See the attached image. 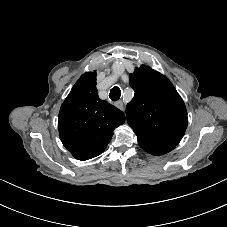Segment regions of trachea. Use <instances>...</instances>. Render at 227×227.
Masks as SVG:
<instances>
[{"mask_svg":"<svg viewBox=\"0 0 227 227\" xmlns=\"http://www.w3.org/2000/svg\"><path fill=\"white\" fill-rule=\"evenodd\" d=\"M120 96H121V90L119 87L115 86L113 87L111 90H110V93H109V98L112 100V101H117L120 99Z\"/></svg>","mask_w":227,"mask_h":227,"instance_id":"1","label":"trachea"}]
</instances>
